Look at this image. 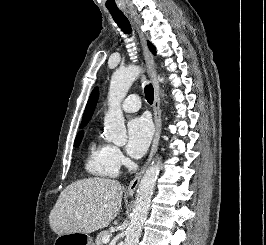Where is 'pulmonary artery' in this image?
Returning <instances> with one entry per match:
<instances>
[{
	"label": "pulmonary artery",
	"mask_w": 266,
	"mask_h": 245,
	"mask_svg": "<svg viewBox=\"0 0 266 245\" xmlns=\"http://www.w3.org/2000/svg\"><path fill=\"white\" fill-rule=\"evenodd\" d=\"M141 104H142L141 96H136V95L125 96V100L121 104V108L125 112H136L137 110H139Z\"/></svg>",
	"instance_id": "pulmonary-artery-1"
}]
</instances>
